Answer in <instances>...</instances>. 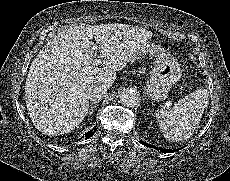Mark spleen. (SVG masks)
Segmentation results:
<instances>
[{"instance_id": "obj_1", "label": "spleen", "mask_w": 230, "mask_h": 181, "mask_svg": "<svg viewBox=\"0 0 230 181\" xmlns=\"http://www.w3.org/2000/svg\"><path fill=\"white\" fill-rule=\"evenodd\" d=\"M204 90L186 95L172 108L157 110L155 115L167 140L180 141L192 136L204 112L206 101Z\"/></svg>"}]
</instances>
